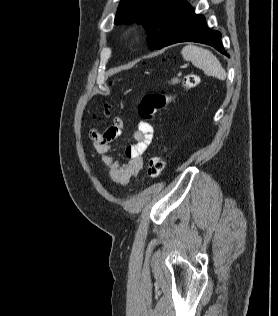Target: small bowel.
<instances>
[{
  "label": "small bowel",
  "mask_w": 278,
  "mask_h": 316,
  "mask_svg": "<svg viewBox=\"0 0 278 316\" xmlns=\"http://www.w3.org/2000/svg\"><path fill=\"white\" fill-rule=\"evenodd\" d=\"M122 128V119L114 117L103 133L93 131L91 139L95 152L101 156L108 176L114 182L125 186L141 171L143 154L152 141L154 129L149 122L141 119L133 133L134 143L125 148L124 153L127 161L120 163L112 155L111 144L120 136Z\"/></svg>",
  "instance_id": "small-bowel-1"
}]
</instances>
